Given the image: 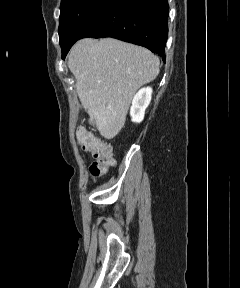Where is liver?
Listing matches in <instances>:
<instances>
[{"label":"liver","mask_w":240,"mask_h":288,"mask_svg":"<svg viewBox=\"0 0 240 288\" xmlns=\"http://www.w3.org/2000/svg\"><path fill=\"white\" fill-rule=\"evenodd\" d=\"M159 58L148 49L113 38L78 41L68 55L82 106L101 136L121 131L133 96L159 74Z\"/></svg>","instance_id":"1"}]
</instances>
